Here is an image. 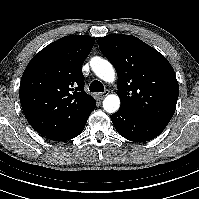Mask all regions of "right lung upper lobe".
<instances>
[{
  "mask_svg": "<svg viewBox=\"0 0 199 199\" xmlns=\"http://www.w3.org/2000/svg\"><path fill=\"white\" fill-rule=\"evenodd\" d=\"M95 38L63 37L42 49L27 65L19 97L30 125L54 140L77 130L96 107L84 91L82 64Z\"/></svg>",
  "mask_w": 199,
  "mask_h": 199,
  "instance_id": "right-lung-upper-lobe-1",
  "label": "right lung upper lobe"
}]
</instances>
